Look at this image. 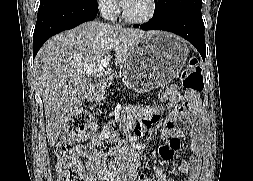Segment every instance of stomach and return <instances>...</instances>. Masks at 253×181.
<instances>
[{
	"instance_id": "0dacf381",
	"label": "stomach",
	"mask_w": 253,
	"mask_h": 181,
	"mask_svg": "<svg viewBox=\"0 0 253 181\" xmlns=\"http://www.w3.org/2000/svg\"><path fill=\"white\" fill-rule=\"evenodd\" d=\"M183 39L163 31H154L132 46L122 65L125 83L138 93L169 84L188 60Z\"/></svg>"
}]
</instances>
